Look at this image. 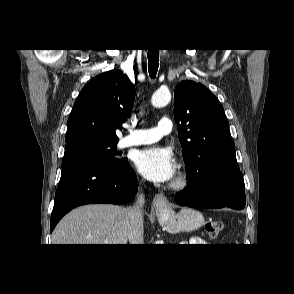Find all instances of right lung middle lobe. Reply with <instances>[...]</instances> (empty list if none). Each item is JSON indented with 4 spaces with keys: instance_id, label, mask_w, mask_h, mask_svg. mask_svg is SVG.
Returning a JSON list of instances; mask_svg holds the SVG:
<instances>
[{
    "instance_id": "1",
    "label": "right lung middle lobe",
    "mask_w": 294,
    "mask_h": 294,
    "mask_svg": "<svg viewBox=\"0 0 294 294\" xmlns=\"http://www.w3.org/2000/svg\"><path fill=\"white\" fill-rule=\"evenodd\" d=\"M117 142L82 139L66 144L62 168L80 162H98L105 165H123L127 158H117Z\"/></svg>"
}]
</instances>
